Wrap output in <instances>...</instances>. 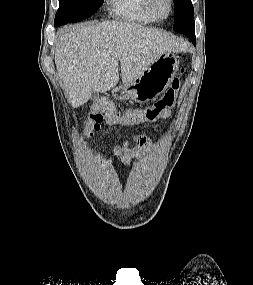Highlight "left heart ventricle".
Masks as SVG:
<instances>
[{"label": "left heart ventricle", "mask_w": 253, "mask_h": 285, "mask_svg": "<svg viewBox=\"0 0 253 285\" xmlns=\"http://www.w3.org/2000/svg\"><path fill=\"white\" fill-rule=\"evenodd\" d=\"M153 8L158 16L163 17L168 13L169 5L167 0H154Z\"/></svg>", "instance_id": "left-heart-ventricle-1"}]
</instances>
